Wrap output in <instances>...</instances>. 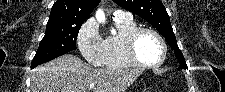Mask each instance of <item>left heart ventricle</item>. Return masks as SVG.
Masks as SVG:
<instances>
[{
	"mask_svg": "<svg viewBox=\"0 0 225 92\" xmlns=\"http://www.w3.org/2000/svg\"><path fill=\"white\" fill-rule=\"evenodd\" d=\"M136 50L139 58L146 64H155L162 57L159 41L150 33H143L137 40Z\"/></svg>",
	"mask_w": 225,
	"mask_h": 92,
	"instance_id": "b2bd125f",
	"label": "left heart ventricle"
}]
</instances>
